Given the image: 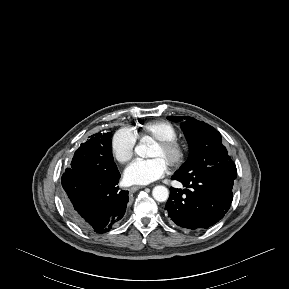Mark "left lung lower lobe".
<instances>
[{
  "label": "left lung lower lobe",
  "instance_id": "0a47b994",
  "mask_svg": "<svg viewBox=\"0 0 289 289\" xmlns=\"http://www.w3.org/2000/svg\"><path fill=\"white\" fill-rule=\"evenodd\" d=\"M175 179L190 189L171 188L165 210L169 221L178 227L195 230L207 229L221 220L230 208L232 186L215 178Z\"/></svg>",
  "mask_w": 289,
  "mask_h": 289
}]
</instances>
